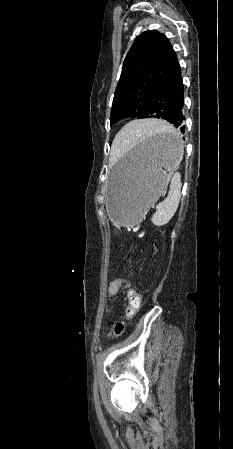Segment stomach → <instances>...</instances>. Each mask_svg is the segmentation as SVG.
<instances>
[{"label": "stomach", "mask_w": 233, "mask_h": 449, "mask_svg": "<svg viewBox=\"0 0 233 449\" xmlns=\"http://www.w3.org/2000/svg\"><path fill=\"white\" fill-rule=\"evenodd\" d=\"M182 157L175 133H156L112 168L108 183V210L120 226H134L167 187Z\"/></svg>", "instance_id": "obj_1"}]
</instances>
